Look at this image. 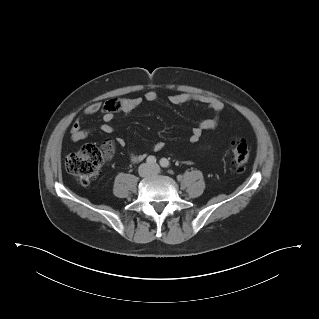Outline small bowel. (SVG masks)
<instances>
[{"instance_id": "c3829d8e", "label": "small bowel", "mask_w": 319, "mask_h": 319, "mask_svg": "<svg viewBox=\"0 0 319 319\" xmlns=\"http://www.w3.org/2000/svg\"><path fill=\"white\" fill-rule=\"evenodd\" d=\"M158 99V93L154 90H148L144 93L142 97H128L117 99V104H111L112 100H109L105 103L94 102L88 105L84 110V116L89 117L96 114L102 115L103 123L100 126V130L105 134H110L113 132V121L115 115L128 114L137 108L143 101L155 102ZM171 103L176 105H183L188 103H198L207 106L213 111V116L202 120L197 126H195L190 135V141L196 143L203 131L214 129L219 123V117L222 111L224 110V103L213 96L208 95H192L186 93H175L169 97ZM92 133L91 129H86L82 127V120L76 119L71 128H70V138L72 141L77 142L86 139ZM116 143L124 147L126 141L122 137L116 139ZM164 146L163 142H156L154 148L156 150L162 149ZM129 159L133 163L141 162L145 158V154L129 152Z\"/></svg>"}]
</instances>
